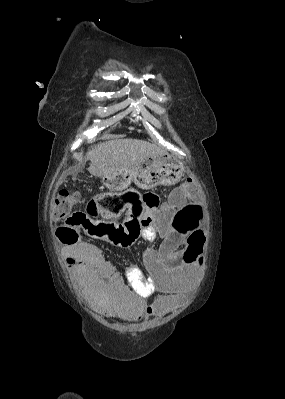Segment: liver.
<instances>
[{
    "instance_id": "1",
    "label": "liver",
    "mask_w": 285,
    "mask_h": 399,
    "mask_svg": "<svg viewBox=\"0 0 285 399\" xmlns=\"http://www.w3.org/2000/svg\"><path fill=\"white\" fill-rule=\"evenodd\" d=\"M164 154L157 145L138 139H114L98 144L87 158L91 161L88 171L96 177L129 169L146 159Z\"/></svg>"
}]
</instances>
